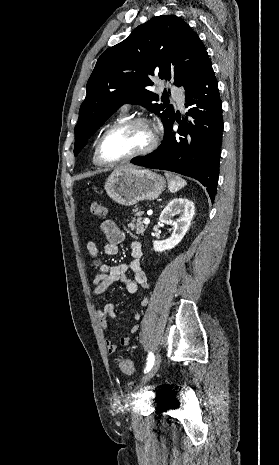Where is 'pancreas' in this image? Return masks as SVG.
<instances>
[{"instance_id": "pancreas-1", "label": "pancreas", "mask_w": 279, "mask_h": 465, "mask_svg": "<svg viewBox=\"0 0 279 465\" xmlns=\"http://www.w3.org/2000/svg\"><path fill=\"white\" fill-rule=\"evenodd\" d=\"M141 215V211H136L135 216H137V218L133 217L131 221H129L128 227L135 231L136 234L143 236L145 230L147 229V225L143 224Z\"/></svg>"}]
</instances>
